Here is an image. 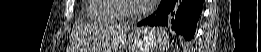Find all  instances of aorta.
Here are the masks:
<instances>
[{"mask_svg": "<svg viewBox=\"0 0 261 52\" xmlns=\"http://www.w3.org/2000/svg\"><path fill=\"white\" fill-rule=\"evenodd\" d=\"M179 5H180V1H177V2L175 3V6H174L173 11H177ZM169 19H170V17H169Z\"/></svg>", "mask_w": 261, "mask_h": 52, "instance_id": "1", "label": "aorta"}]
</instances>
